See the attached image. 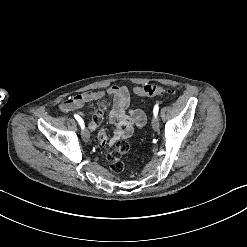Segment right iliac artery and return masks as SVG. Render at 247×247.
I'll return each instance as SVG.
<instances>
[{
  "mask_svg": "<svg viewBox=\"0 0 247 247\" xmlns=\"http://www.w3.org/2000/svg\"><path fill=\"white\" fill-rule=\"evenodd\" d=\"M74 117H75V119L79 122V124H80V126H81V129L83 130L84 129V121H83V119L79 116V115H77V114H75L74 115Z\"/></svg>",
  "mask_w": 247,
  "mask_h": 247,
  "instance_id": "obj_1",
  "label": "right iliac artery"
}]
</instances>
